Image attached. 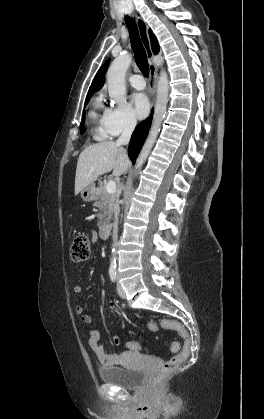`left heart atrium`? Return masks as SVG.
<instances>
[{
    "label": "left heart atrium",
    "instance_id": "obj_1",
    "mask_svg": "<svg viewBox=\"0 0 264 419\" xmlns=\"http://www.w3.org/2000/svg\"><path fill=\"white\" fill-rule=\"evenodd\" d=\"M134 112L138 118H144L149 111V101L144 93H136L132 97Z\"/></svg>",
    "mask_w": 264,
    "mask_h": 419
}]
</instances>
